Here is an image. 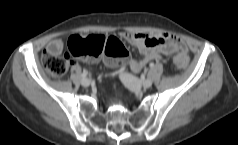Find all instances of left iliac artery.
<instances>
[{
    "instance_id": "obj_1",
    "label": "left iliac artery",
    "mask_w": 238,
    "mask_h": 145,
    "mask_svg": "<svg viewBox=\"0 0 238 145\" xmlns=\"http://www.w3.org/2000/svg\"><path fill=\"white\" fill-rule=\"evenodd\" d=\"M150 67H151V68H153V67H154V64H153V63H151V64H150Z\"/></svg>"
}]
</instances>
